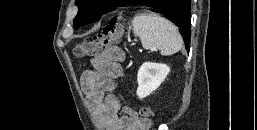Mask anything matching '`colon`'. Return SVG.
<instances>
[{"label":"colon","instance_id":"obj_1","mask_svg":"<svg viewBox=\"0 0 257 130\" xmlns=\"http://www.w3.org/2000/svg\"><path fill=\"white\" fill-rule=\"evenodd\" d=\"M122 33L123 24L121 20L119 18H114L102 32L78 43L74 47L73 54L76 58L92 56L113 41L119 39ZM140 114L143 119L150 120V118L153 116V111L148 107H142L140 109Z\"/></svg>","mask_w":257,"mask_h":130}]
</instances>
